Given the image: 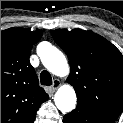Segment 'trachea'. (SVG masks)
<instances>
[{"instance_id":"3493384b","label":"trachea","mask_w":123,"mask_h":123,"mask_svg":"<svg viewBox=\"0 0 123 123\" xmlns=\"http://www.w3.org/2000/svg\"><path fill=\"white\" fill-rule=\"evenodd\" d=\"M40 81L42 85H52V77L50 73L46 70H43L40 73Z\"/></svg>"}]
</instances>
